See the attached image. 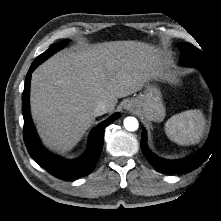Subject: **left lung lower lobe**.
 I'll list each match as a JSON object with an SVG mask.
<instances>
[{"label": "left lung lower lobe", "instance_id": "obj_1", "mask_svg": "<svg viewBox=\"0 0 221 221\" xmlns=\"http://www.w3.org/2000/svg\"><path fill=\"white\" fill-rule=\"evenodd\" d=\"M206 82L214 94L213 122L209 140L198 153L182 160H165L154 155L146 145V131L142 130L141 149L150 164L161 173H187L199 167L211 154L216 143L221 140V83L211 67L201 70Z\"/></svg>", "mask_w": 221, "mask_h": 221}]
</instances>
